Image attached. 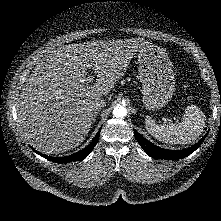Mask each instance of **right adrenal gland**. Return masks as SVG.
Here are the masks:
<instances>
[{"mask_svg": "<svg viewBox=\"0 0 221 221\" xmlns=\"http://www.w3.org/2000/svg\"><path fill=\"white\" fill-rule=\"evenodd\" d=\"M98 113H99L98 110H95V111H94L93 117H92L93 123L96 121V116L98 115Z\"/></svg>", "mask_w": 221, "mask_h": 221, "instance_id": "obj_1", "label": "right adrenal gland"}]
</instances>
